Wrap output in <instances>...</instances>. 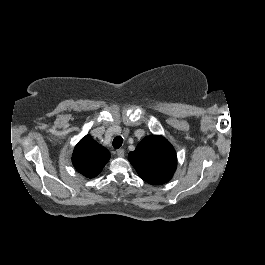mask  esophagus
I'll return each instance as SVG.
<instances>
[{"label":"esophagus","instance_id":"esophagus-1","mask_svg":"<svg viewBox=\"0 0 265 265\" xmlns=\"http://www.w3.org/2000/svg\"><path fill=\"white\" fill-rule=\"evenodd\" d=\"M124 154H125L124 149H118V150H117V156H118V157H123Z\"/></svg>","mask_w":265,"mask_h":265}]
</instances>
